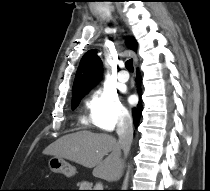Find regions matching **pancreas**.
Returning a JSON list of instances; mask_svg holds the SVG:
<instances>
[{
	"label": "pancreas",
	"instance_id": "obj_1",
	"mask_svg": "<svg viewBox=\"0 0 210 191\" xmlns=\"http://www.w3.org/2000/svg\"><path fill=\"white\" fill-rule=\"evenodd\" d=\"M79 186H80V189H91L92 184L88 182H81Z\"/></svg>",
	"mask_w": 210,
	"mask_h": 191
}]
</instances>
